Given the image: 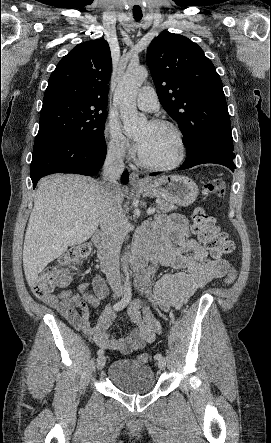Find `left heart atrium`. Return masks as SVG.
Returning a JSON list of instances; mask_svg holds the SVG:
<instances>
[{"label":"left heart atrium","mask_w":271,"mask_h":443,"mask_svg":"<svg viewBox=\"0 0 271 443\" xmlns=\"http://www.w3.org/2000/svg\"><path fill=\"white\" fill-rule=\"evenodd\" d=\"M136 147H137V149L139 150V151H141L142 150V148H143V141H136Z\"/></svg>","instance_id":"obj_1"}]
</instances>
